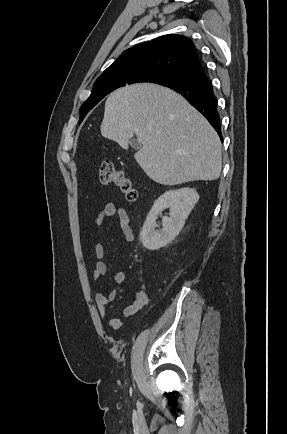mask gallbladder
<instances>
[{
    "label": "gallbladder",
    "mask_w": 287,
    "mask_h": 434,
    "mask_svg": "<svg viewBox=\"0 0 287 434\" xmlns=\"http://www.w3.org/2000/svg\"><path fill=\"white\" fill-rule=\"evenodd\" d=\"M129 145H130L132 148H134V149H140V148H141V144H140V142H138V141L135 140V139H131V140L129 141Z\"/></svg>",
    "instance_id": "1"
}]
</instances>
